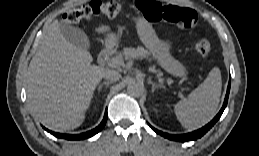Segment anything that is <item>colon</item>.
Instances as JSON below:
<instances>
[{
    "instance_id": "5ec220e1",
    "label": "colon",
    "mask_w": 259,
    "mask_h": 156,
    "mask_svg": "<svg viewBox=\"0 0 259 156\" xmlns=\"http://www.w3.org/2000/svg\"><path fill=\"white\" fill-rule=\"evenodd\" d=\"M138 8L149 21H167L179 28L191 30L197 25V15L194 10L175 5H164L152 0H138ZM122 12V5L114 0H94L77 8L69 9L63 15V20L68 24H76L80 21L96 16L113 18ZM196 52L201 59H206L210 49V42L203 38L196 43Z\"/></svg>"
}]
</instances>
